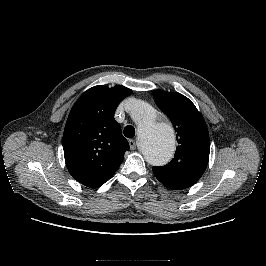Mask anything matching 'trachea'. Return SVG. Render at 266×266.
<instances>
[{"instance_id": "trachea-1", "label": "trachea", "mask_w": 266, "mask_h": 266, "mask_svg": "<svg viewBox=\"0 0 266 266\" xmlns=\"http://www.w3.org/2000/svg\"><path fill=\"white\" fill-rule=\"evenodd\" d=\"M124 135L127 138H133L135 135V128L131 125H128L124 128Z\"/></svg>"}]
</instances>
